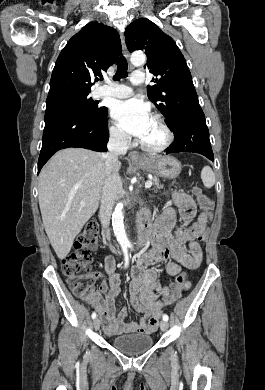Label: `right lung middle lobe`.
Segmentation results:
<instances>
[{
    "label": "right lung middle lobe",
    "mask_w": 265,
    "mask_h": 390,
    "mask_svg": "<svg viewBox=\"0 0 265 390\" xmlns=\"http://www.w3.org/2000/svg\"><path fill=\"white\" fill-rule=\"evenodd\" d=\"M89 93L70 94L46 100V111H74L92 119L106 116L108 109L98 106V102L88 97Z\"/></svg>",
    "instance_id": "right-lung-middle-lobe-1"
}]
</instances>
